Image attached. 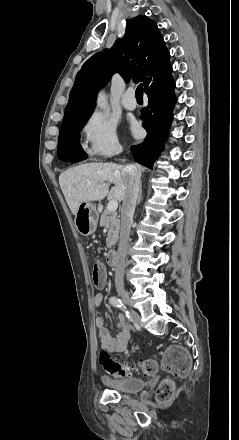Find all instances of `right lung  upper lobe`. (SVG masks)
Listing matches in <instances>:
<instances>
[{"label": "right lung upper lobe", "instance_id": "obj_1", "mask_svg": "<svg viewBox=\"0 0 239 440\" xmlns=\"http://www.w3.org/2000/svg\"><path fill=\"white\" fill-rule=\"evenodd\" d=\"M169 52L157 24L146 16L126 21V32L111 49L91 58L77 73L62 123L92 113L99 89L110 81L114 72L125 79L143 81L144 85L170 66Z\"/></svg>", "mask_w": 239, "mask_h": 440}]
</instances>
